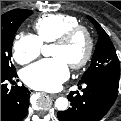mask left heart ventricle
<instances>
[{
	"mask_svg": "<svg viewBox=\"0 0 121 121\" xmlns=\"http://www.w3.org/2000/svg\"><path fill=\"white\" fill-rule=\"evenodd\" d=\"M86 50V39L84 35H77L70 43L67 45L53 46L52 56L62 57L69 65L71 63L79 61Z\"/></svg>",
	"mask_w": 121,
	"mask_h": 121,
	"instance_id": "obj_1",
	"label": "left heart ventricle"
}]
</instances>
